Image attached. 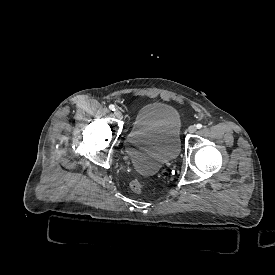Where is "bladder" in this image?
I'll return each instance as SVG.
<instances>
[{
	"mask_svg": "<svg viewBox=\"0 0 275 275\" xmlns=\"http://www.w3.org/2000/svg\"><path fill=\"white\" fill-rule=\"evenodd\" d=\"M181 116L170 104L149 102L140 107L127 142L131 162L144 173H156L181 150Z\"/></svg>",
	"mask_w": 275,
	"mask_h": 275,
	"instance_id": "bladder-1",
	"label": "bladder"
}]
</instances>
